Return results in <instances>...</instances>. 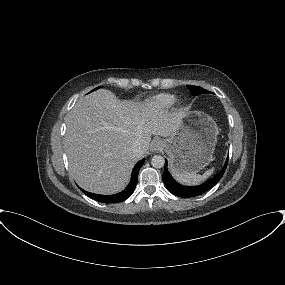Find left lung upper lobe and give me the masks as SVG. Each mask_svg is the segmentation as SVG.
Masks as SVG:
<instances>
[{
    "label": "left lung upper lobe",
    "instance_id": "1",
    "mask_svg": "<svg viewBox=\"0 0 285 285\" xmlns=\"http://www.w3.org/2000/svg\"><path fill=\"white\" fill-rule=\"evenodd\" d=\"M187 88L190 90L193 96H197L203 93H211L210 91L198 86L187 85Z\"/></svg>",
    "mask_w": 285,
    "mask_h": 285
}]
</instances>
